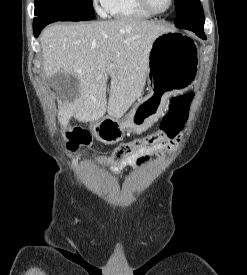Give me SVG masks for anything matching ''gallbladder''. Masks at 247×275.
<instances>
[{
	"mask_svg": "<svg viewBox=\"0 0 247 275\" xmlns=\"http://www.w3.org/2000/svg\"><path fill=\"white\" fill-rule=\"evenodd\" d=\"M47 82L61 97L71 92L77 94L79 90V81L71 74L58 72L48 77Z\"/></svg>",
	"mask_w": 247,
	"mask_h": 275,
	"instance_id": "bac80fb5",
	"label": "gallbladder"
}]
</instances>
